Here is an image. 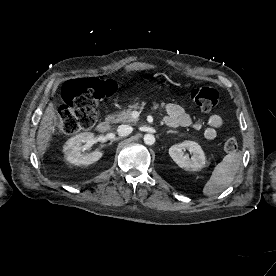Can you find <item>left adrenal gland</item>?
I'll use <instances>...</instances> for the list:
<instances>
[{
  "instance_id": "left-adrenal-gland-1",
  "label": "left adrenal gland",
  "mask_w": 276,
  "mask_h": 276,
  "mask_svg": "<svg viewBox=\"0 0 276 276\" xmlns=\"http://www.w3.org/2000/svg\"><path fill=\"white\" fill-rule=\"evenodd\" d=\"M169 133H177V132L173 131V130H169V131H167V134H169Z\"/></svg>"
}]
</instances>
